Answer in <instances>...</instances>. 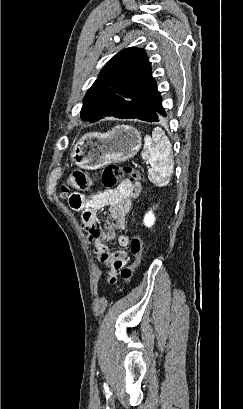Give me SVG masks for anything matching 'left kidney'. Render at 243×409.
<instances>
[{
    "label": "left kidney",
    "mask_w": 243,
    "mask_h": 409,
    "mask_svg": "<svg viewBox=\"0 0 243 409\" xmlns=\"http://www.w3.org/2000/svg\"><path fill=\"white\" fill-rule=\"evenodd\" d=\"M143 222L144 225L147 227H151L154 224L155 216L152 211H149L148 213L145 214Z\"/></svg>",
    "instance_id": "obj_1"
}]
</instances>
